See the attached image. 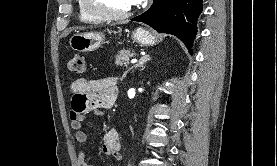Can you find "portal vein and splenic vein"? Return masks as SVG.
<instances>
[{"instance_id":"obj_1","label":"portal vein and splenic vein","mask_w":277,"mask_h":166,"mask_svg":"<svg viewBox=\"0 0 277 166\" xmlns=\"http://www.w3.org/2000/svg\"><path fill=\"white\" fill-rule=\"evenodd\" d=\"M136 62H137V59H132V60H131V63H132V64H134V63H136Z\"/></svg>"}]
</instances>
